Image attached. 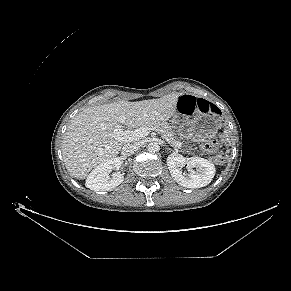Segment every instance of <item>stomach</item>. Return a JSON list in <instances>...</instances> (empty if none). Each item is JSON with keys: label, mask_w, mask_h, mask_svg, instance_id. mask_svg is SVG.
I'll return each instance as SVG.
<instances>
[{"label": "stomach", "mask_w": 291, "mask_h": 291, "mask_svg": "<svg viewBox=\"0 0 291 291\" xmlns=\"http://www.w3.org/2000/svg\"><path fill=\"white\" fill-rule=\"evenodd\" d=\"M172 124L179 128L183 135L193 140H204L214 136L220 127L221 119L214 112L199 113L191 118L175 114Z\"/></svg>", "instance_id": "1"}]
</instances>
